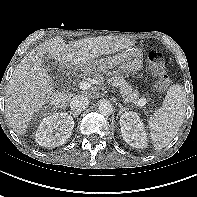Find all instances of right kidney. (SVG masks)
<instances>
[{"label":"right kidney","mask_w":197,"mask_h":197,"mask_svg":"<svg viewBox=\"0 0 197 197\" xmlns=\"http://www.w3.org/2000/svg\"><path fill=\"white\" fill-rule=\"evenodd\" d=\"M73 128L74 121L71 115L65 112L54 113L42 120L35 140L43 147H58L70 138Z\"/></svg>","instance_id":"right-kidney-1"}]
</instances>
